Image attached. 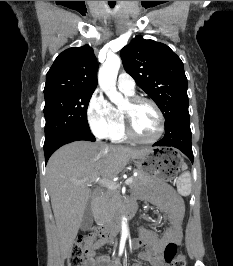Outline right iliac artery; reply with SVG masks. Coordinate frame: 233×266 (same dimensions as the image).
I'll use <instances>...</instances> for the list:
<instances>
[{
    "instance_id": "82829eb1",
    "label": "right iliac artery",
    "mask_w": 233,
    "mask_h": 266,
    "mask_svg": "<svg viewBox=\"0 0 233 266\" xmlns=\"http://www.w3.org/2000/svg\"><path fill=\"white\" fill-rule=\"evenodd\" d=\"M125 240L122 239L120 242V249H119V256L122 255L123 249H124Z\"/></svg>"
}]
</instances>
